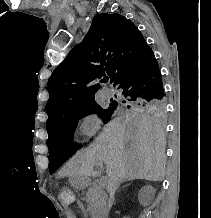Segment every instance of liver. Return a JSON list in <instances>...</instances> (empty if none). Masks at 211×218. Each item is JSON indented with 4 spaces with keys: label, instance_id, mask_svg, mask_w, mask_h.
<instances>
[{
    "label": "liver",
    "instance_id": "6515ba94",
    "mask_svg": "<svg viewBox=\"0 0 211 218\" xmlns=\"http://www.w3.org/2000/svg\"><path fill=\"white\" fill-rule=\"evenodd\" d=\"M165 136L150 116L126 112L107 124L95 144L75 154L64 166L65 176H92L96 166L122 180L161 182L165 170Z\"/></svg>",
    "mask_w": 211,
    "mask_h": 218
}]
</instances>
